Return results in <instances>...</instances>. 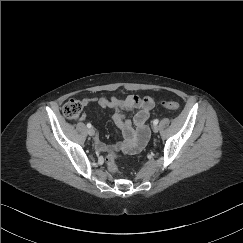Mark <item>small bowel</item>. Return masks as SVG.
<instances>
[{
	"mask_svg": "<svg viewBox=\"0 0 243 243\" xmlns=\"http://www.w3.org/2000/svg\"><path fill=\"white\" fill-rule=\"evenodd\" d=\"M83 105L95 103L101 108H110L113 110V121L120 129L123 139L115 144H105L98 138L95 139L96 149L104 154H111L118 151L135 153L140 151L148 138L146 122L150 117L155 103L149 96L140 97L138 95H126L123 97H91L82 99ZM135 110L133 121L136 128L127 113ZM87 114L83 113L81 120H86Z\"/></svg>",
	"mask_w": 243,
	"mask_h": 243,
	"instance_id": "small-bowel-1",
	"label": "small bowel"
}]
</instances>
